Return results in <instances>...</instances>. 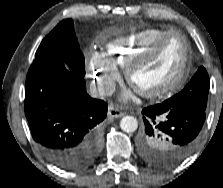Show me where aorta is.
<instances>
[{
	"instance_id": "762f6f07",
	"label": "aorta",
	"mask_w": 223,
	"mask_h": 188,
	"mask_svg": "<svg viewBox=\"0 0 223 188\" xmlns=\"http://www.w3.org/2000/svg\"><path fill=\"white\" fill-rule=\"evenodd\" d=\"M120 128L127 133H132L137 130L138 121L133 116H125L120 121Z\"/></svg>"
}]
</instances>
